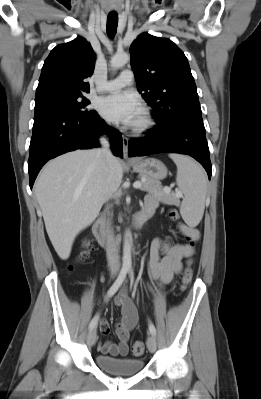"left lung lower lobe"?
Listing matches in <instances>:
<instances>
[{
	"instance_id": "1",
	"label": "left lung lower lobe",
	"mask_w": 261,
	"mask_h": 399,
	"mask_svg": "<svg viewBox=\"0 0 261 399\" xmlns=\"http://www.w3.org/2000/svg\"><path fill=\"white\" fill-rule=\"evenodd\" d=\"M148 136L130 139L129 156L173 152L187 154L202 164L209 180L212 166L201 113L182 114L145 132Z\"/></svg>"
}]
</instances>
